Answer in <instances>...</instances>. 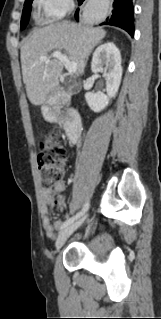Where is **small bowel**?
<instances>
[{"label": "small bowel", "instance_id": "small-bowel-1", "mask_svg": "<svg viewBox=\"0 0 161 319\" xmlns=\"http://www.w3.org/2000/svg\"><path fill=\"white\" fill-rule=\"evenodd\" d=\"M66 188L64 181L57 182L53 188H45L42 191V201H43V211L45 213L48 212V210L55 204V198L54 194L60 195L64 192ZM76 211V205L73 202L69 203V213L72 214ZM61 221H55L53 224H51L49 218L47 215L43 217L42 225L43 230L46 236L50 239L55 238V231L60 230L62 226Z\"/></svg>", "mask_w": 161, "mask_h": 319}]
</instances>
